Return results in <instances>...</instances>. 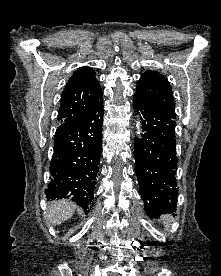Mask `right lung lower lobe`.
Returning <instances> with one entry per match:
<instances>
[{"mask_svg": "<svg viewBox=\"0 0 221 276\" xmlns=\"http://www.w3.org/2000/svg\"><path fill=\"white\" fill-rule=\"evenodd\" d=\"M103 102L87 117L59 125L55 133L47 196L91 207L101 157Z\"/></svg>", "mask_w": 221, "mask_h": 276, "instance_id": "obj_1", "label": "right lung lower lobe"}]
</instances>
